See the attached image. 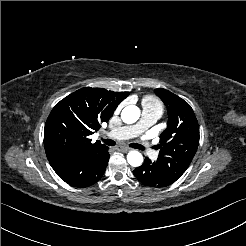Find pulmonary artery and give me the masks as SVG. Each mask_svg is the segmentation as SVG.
<instances>
[{
	"mask_svg": "<svg viewBox=\"0 0 246 246\" xmlns=\"http://www.w3.org/2000/svg\"><path fill=\"white\" fill-rule=\"evenodd\" d=\"M161 114L156 110H143L142 120L139 124L135 126H124L117 130L111 131L109 136L117 139H126V138H139L142 130L153 123H155ZM146 152L153 153V149L149 146H143Z\"/></svg>",
	"mask_w": 246,
	"mask_h": 246,
	"instance_id": "1",
	"label": "pulmonary artery"
}]
</instances>
